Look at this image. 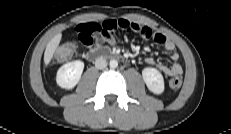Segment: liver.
<instances>
[{
    "mask_svg": "<svg viewBox=\"0 0 231 134\" xmlns=\"http://www.w3.org/2000/svg\"><path fill=\"white\" fill-rule=\"evenodd\" d=\"M62 34L58 33L56 34L47 44L45 52H44V63L48 65L53 58V55L59 46V43L61 41Z\"/></svg>",
    "mask_w": 231,
    "mask_h": 134,
    "instance_id": "liver-1",
    "label": "liver"
}]
</instances>
